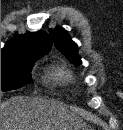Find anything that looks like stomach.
Listing matches in <instances>:
<instances>
[{"instance_id": "1", "label": "stomach", "mask_w": 123, "mask_h": 130, "mask_svg": "<svg viewBox=\"0 0 123 130\" xmlns=\"http://www.w3.org/2000/svg\"><path fill=\"white\" fill-rule=\"evenodd\" d=\"M72 130H86L84 128H75V129H72Z\"/></svg>"}]
</instances>
